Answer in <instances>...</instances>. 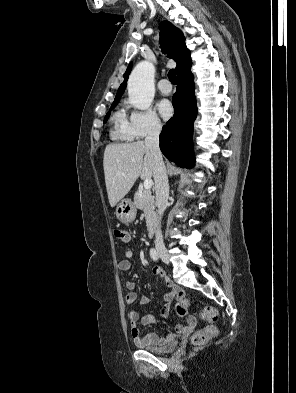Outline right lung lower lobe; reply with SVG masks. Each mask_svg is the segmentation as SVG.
<instances>
[{"instance_id": "obj_1", "label": "right lung lower lobe", "mask_w": 296, "mask_h": 393, "mask_svg": "<svg viewBox=\"0 0 296 393\" xmlns=\"http://www.w3.org/2000/svg\"><path fill=\"white\" fill-rule=\"evenodd\" d=\"M191 64L177 74L178 86L173 96L174 117L166 123L160 134L162 153L180 167L186 168L194 163L191 137L197 115Z\"/></svg>"}]
</instances>
